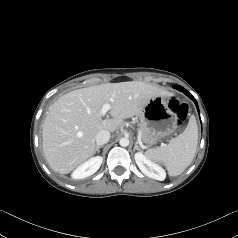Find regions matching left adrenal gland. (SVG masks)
<instances>
[{
  "label": "left adrenal gland",
  "instance_id": "left-adrenal-gland-1",
  "mask_svg": "<svg viewBox=\"0 0 238 238\" xmlns=\"http://www.w3.org/2000/svg\"><path fill=\"white\" fill-rule=\"evenodd\" d=\"M135 150H138V151L141 150L140 147L138 146V143H137V142L135 143V146H134V151H135Z\"/></svg>",
  "mask_w": 238,
  "mask_h": 238
}]
</instances>
